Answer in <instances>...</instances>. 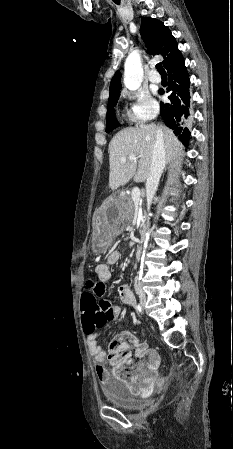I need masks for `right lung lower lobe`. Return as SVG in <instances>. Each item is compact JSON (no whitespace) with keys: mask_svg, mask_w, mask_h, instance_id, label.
I'll return each mask as SVG.
<instances>
[{"mask_svg":"<svg viewBox=\"0 0 233 449\" xmlns=\"http://www.w3.org/2000/svg\"><path fill=\"white\" fill-rule=\"evenodd\" d=\"M168 72L169 87L167 92H170L168 99L169 103L160 104V114L178 139L185 145H188L190 131L188 123L190 120V80L184 60L171 68ZM163 94L164 92H160Z\"/></svg>","mask_w":233,"mask_h":449,"instance_id":"obj_1","label":"right lung lower lobe"}]
</instances>
